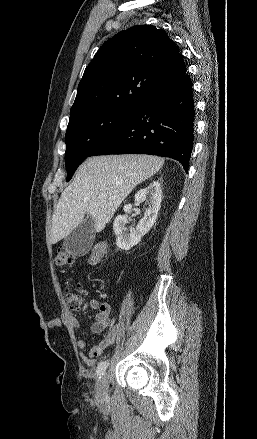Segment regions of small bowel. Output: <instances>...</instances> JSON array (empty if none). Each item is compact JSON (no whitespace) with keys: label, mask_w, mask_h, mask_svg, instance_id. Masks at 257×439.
Wrapping results in <instances>:
<instances>
[{"label":"small bowel","mask_w":257,"mask_h":439,"mask_svg":"<svg viewBox=\"0 0 257 439\" xmlns=\"http://www.w3.org/2000/svg\"><path fill=\"white\" fill-rule=\"evenodd\" d=\"M87 308L97 310L94 322L90 326V330L93 333H102L107 330V334L104 339L93 345L88 352H85L86 342L82 339L77 341L78 348L81 352V360L87 366H95L97 358L101 356L104 351L114 343L117 333V328L110 324V314L112 311L111 305L107 302H100L99 300L92 298L87 302ZM70 323L73 327L78 328L80 326L76 317L70 316Z\"/></svg>","instance_id":"1"}]
</instances>
